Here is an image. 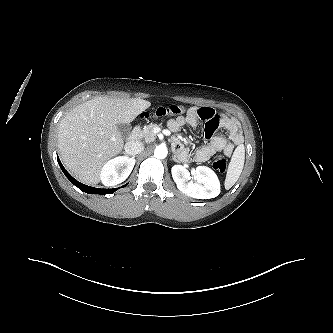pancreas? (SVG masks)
<instances>
[{"instance_id":"pancreas-1","label":"pancreas","mask_w":333,"mask_h":333,"mask_svg":"<svg viewBox=\"0 0 333 333\" xmlns=\"http://www.w3.org/2000/svg\"><path fill=\"white\" fill-rule=\"evenodd\" d=\"M157 127L156 124H149L147 126H144L141 129H138L137 132V139H144L145 142H152L155 140V134H154V129Z\"/></svg>"}]
</instances>
